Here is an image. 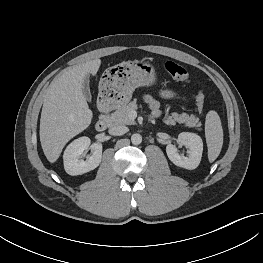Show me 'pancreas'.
I'll use <instances>...</instances> for the list:
<instances>
[{"mask_svg":"<svg viewBox=\"0 0 263 263\" xmlns=\"http://www.w3.org/2000/svg\"><path fill=\"white\" fill-rule=\"evenodd\" d=\"M137 109L135 102H130L127 105H123L113 112L109 119L113 125H132L135 124L134 119L130 117V112ZM164 123L167 125H174L176 122L179 124H185L186 127H195L200 130L201 122L199 118L195 115L187 113L173 112L171 115H166L164 118Z\"/></svg>","mask_w":263,"mask_h":263,"instance_id":"1","label":"pancreas"}]
</instances>
